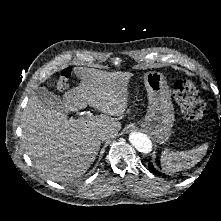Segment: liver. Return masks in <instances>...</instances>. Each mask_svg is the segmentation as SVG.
I'll return each mask as SVG.
<instances>
[{
  "label": "liver",
  "instance_id": "obj_1",
  "mask_svg": "<svg viewBox=\"0 0 221 221\" xmlns=\"http://www.w3.org/2000/svg\"><path fill=\"white\" fill-rule=\"evenodd\" d=\"M78 88L64 96L66 112H75L90 105L101 115L68 120L61 111L48 108L32 95L22 115V141L35 167L57 182L81 177L96 159L101 141L117 135L121 123L112 116L124 113L128 104V72H104L78 68ZM102 132L109 133L103 139Z\"/></svg>",
  "mask_w": 221,
  "mask_h": 221
}]
</instances>
